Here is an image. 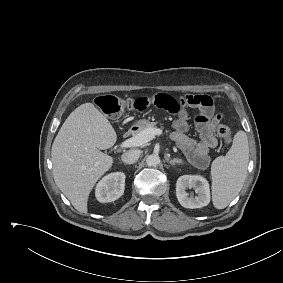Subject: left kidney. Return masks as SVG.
Listing matches in <instances>:
<instances>
[{
	"label": "left kidney",
	"mask_w": 283,
	"mask_h": 283,
	"mask_svg": "<svg viewBox=\"0 0 283 283\" xmlns=\"http://www.w3.org/2000/svg\"><path fill=\"white\" fill-rule=\"evenodd\" d=\"M193 188L196 196H189L187 189ZM176 196L179 203L190 209L207 206L210 202V189L208 181L200 175H183L176 183Z\"/></svg>",
	"instance_id": "obj_1"
}]
</instances>
